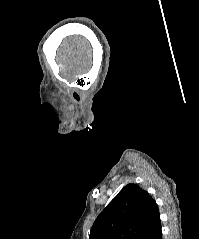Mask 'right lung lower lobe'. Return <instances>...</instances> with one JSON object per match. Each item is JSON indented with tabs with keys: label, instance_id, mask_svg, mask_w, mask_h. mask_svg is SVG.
I'll list each match as a JSON object with an SVG mask.
<instances>
[{
	"label": "right lung lower lobe",
	"instance_id": "98d812e1",
	"mask_svg": "<svg viewBox=\"0 0 199 239\" xmlns=\"http://www.w3.org/2000/svg\"><path fill=\"white\" fill-rule=\"evenodd\" d=\"M141 239H162L160 219L141 237Z\"/></svg>",
	"mask_w": 199,
	"mask_h": 239
}]
</instances>
